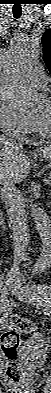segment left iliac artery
Segmentation results:
<instances>
[{
	"label": "left iliac artery",
	"instance_id": "44dca946",
	"mask_svg": "<svg viewBox=\"0 0 51 393\" xmlns=\"http://www.w3.org/2000/svg\"><path fill=\"white\" fill-rule=\"evenodd\" d=\"M32 289L38 290L42 293V296L46 301L50 304L51 303V286L49 285H34L31 287ZM49 307H51L50 305H48ZM51 313V311H49Z\"/></svg>",
	"mask_w": 51,
	"mask_h": 393
}]
</instances>
